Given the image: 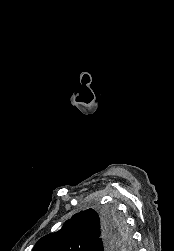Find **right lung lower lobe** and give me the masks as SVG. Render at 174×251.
I'll return each instance as SVG.
<instances>
[{
  "mask_svg": "<svg viewBox=\"0 0 174 251\" xmlns=\"http://www.w3.org/2000/svg\"><path fill=\"white\" fill-rule=\"evenodd\" d=\"M118 232H120V230L118 229V226L109 222L103 216L102 235H101L100 244L94 250L97 251L101 247H104L105 248L104 251H119V250L112 249V245L114 241L116 240Z\"/></svg>",
  "mask_w": 174,
  "mask_h": 251,
  "instance_id": "obj_1",
  "label": "right lung lower lobe"
}]
</instances>
